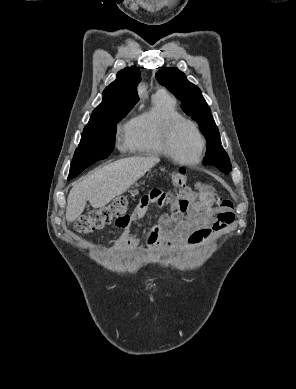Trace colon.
<instances>
[{"label":"colon","instance_id":"5ec220e1","mask_svg":"<svg viewBox=\"0 0 296 389\" xmlns=\"http://www.w3.org/2000/svg\"><path fill=\"white\" fill-rule=\"evenodd\" d=\"M171 181L182 194L191 192L188 175L185 170L179 169L173 171L171 173ZM197 189L200 192H205L210 188L205 184L198 183ZM131 196H133V192L115 198L108 205L88 211L79 218L76 225L77 230L80 233L88 234L112 222L117 226L125 224L128 218L127 210L130 205Z\"/></svg>","mask_w":296,"mask_h":389}]
</instances>
